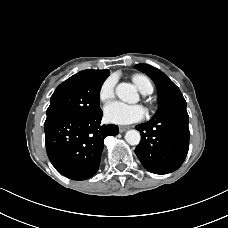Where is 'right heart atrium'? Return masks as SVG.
I'll return each instance as SVG.
<instances>
[{"mask_svg":"<svg viewBox=\"0 0 228 228\" xmlns=\"http://www.w3.org/2000/svg\"><path fill=\"white\" fill-rule=\"evenodd\" d=\"M116 86V77L111 75L101 84L98 97L101 102H108L114 97Z\"/></svg>","mask_w":228,"mask_h":228,"instance_id":"obj_1","label":"right heart atrium"}]
</instances>
